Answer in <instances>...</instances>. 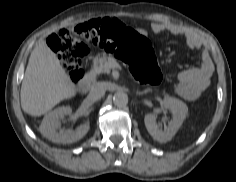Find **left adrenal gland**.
Returning <instances> with one entry per match:
<instances>
[{"label":"left adrenal gland","mask_w":236,"mask_h":182,"mask_svg":"<svg viewBox=\"0 0 236 182\" xmlns=\"http://www.w3.org/2000/svg\"><path fill=\"white\" fill-rule=\"evenodd\" d=\"M146 92H137L136 94L137 95H143V94H145Z\"/></svg>","instance_id":"left-adrenal-gland-1"}]
</instances>
